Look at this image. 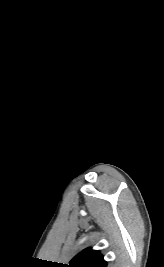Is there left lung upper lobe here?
I'll use <instances>...</instances> for the list:
<instances>
[{"instance_id":"obj_1","label":"left lung upper lobe","mask_w":164,"mask_h":267,"mask_svg":"<svg viewBox=\"0 0 164 267\" xmlns=\"http://www.w3.org/2000/svg\"><path fill=\"white\" fill-rule=\"evenodd\" d=\"M68 267H106V261L98 251L87 248L75 256Z\"/></svg>"}]
</instances>
